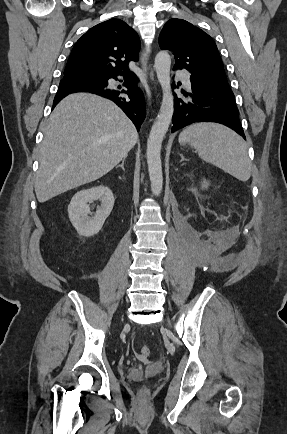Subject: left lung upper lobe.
I'll return each instance as SVG.
<instances>
[{"instance_id":"left-lung-upper-lobe-1","label":"left lung upper lobe","mask_w":287,"mask_h":434,"mask_svg":"<svg viewBox=\"0 0 287 434\" xmlns=\"http://www.w3.org/2000/svg\"><path fill=\"white\" fill-rule=\"evenodd\" d=\"M159 45L174 54V69H187L192 76L231 90L215 42L198 27L182 19H170L160 33Z\"/></svg>"}]
</instances>
